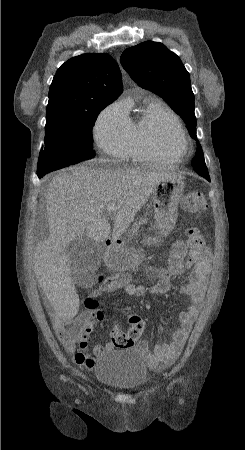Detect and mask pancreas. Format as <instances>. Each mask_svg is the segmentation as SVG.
Returning <instances> with one entry per match:
<instances>
[{
  "label": "pancreas",
  "mask_w": 245,
  "mask_h": 450,
  "mask_svg": "<svg viewBox=\"0 0 245 450\" xmlns=\"http://www.w3.org/2000/svg\"><path fill=\"white\" fill-rule=\"evenodd\" d=\"M147 220L145 218H140V220L138 222H135L132 226V229L130 230L131 234H134L137 232V230L139 229V226L141 224H146Z\"/></svg>",
  "instance_id": "obj_1"
}]
</instances>
